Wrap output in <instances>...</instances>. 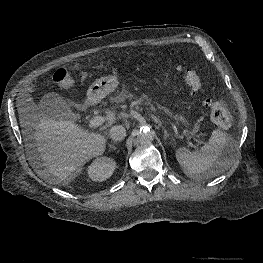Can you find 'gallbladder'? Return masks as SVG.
<instances>
[{
  "mask_svg": "<svg viewBox=\"0 0 263 263\" xmlns=\"http://www.w3.org/2000/svg\"><path fill=\"white\" fill-rule=\"evenodd\" d=\"M39 107L43 114L57 121L71 120L74 116L70 109V102L54 92L42 96Z\"/></svg>",
  "mask_w": 263,
  "mask_h": 263,
  "instance_id": "gallbladder-1",
  "label": "gallbladder"
}]
</instances>
